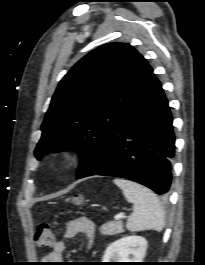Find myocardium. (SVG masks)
<instances>
[{
    "label": "myocardium",
    "mask_w": 205,
    "mask_h": 265,
    "mask_svg": "<svg viewBox=\"0 0 205 265\" xmlns=\"http://www.w3.org/2000/svg\"><path fill=\"white\" fill-rule=\"evenodd\" d=\"M77 151L72 147L63 148L56 156L55 163L60 168L71 166L77 159Z\"/></svg>",
    "instance_id": "1"
}]
</instances>
